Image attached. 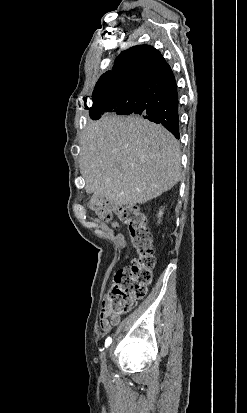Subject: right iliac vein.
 Segmentation results:
<instances>
[{
  "mask_svg": "<svg viewBox=\"0 0 247 413\" xmlns=\"http://www.w3.org/2000/svg\"><path fill=\"white\" fill-rule=\"evenodd\" d=\"M105 360H106V356H105V353H103V354H101V365H102V367L105 366Z\"/></svg>",
  "mask_w": 247,
  "mask_h": 413,
  "instance_id": "right-iliac-vein-1",
  "label": "right iliac vein"
}]
</instances>
